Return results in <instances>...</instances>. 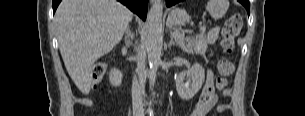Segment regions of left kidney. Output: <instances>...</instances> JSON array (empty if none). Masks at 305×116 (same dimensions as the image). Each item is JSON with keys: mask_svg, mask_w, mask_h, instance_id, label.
<instances>
[{"mask_svg": "<svg viewBox=\"0 0 305 116\" xmlns=\"http://www.w3.org/2000/svg\"><path fill=\"white\" fill-rule=\"evenodd\" d=\"M187 82L184 83V80ZM205 79V71L202 65L195 63L191 68L182 71L175 79L178 95L184 100L192 99L201 89Z\"/></svg>", "mask_w": 305, "mask_h": 116, "instance_id": "5707ae66", "label": "left kidney"}]
</instances>
